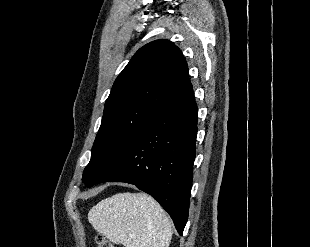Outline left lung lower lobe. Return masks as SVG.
I'll return each mask as SVG.
<instances>
[{"instance_id": "obj_1", "label": "left lung lower lobe", "mask_w": 310, "mask_h": 247, "mask_svg": "<svg viewBox=\"0 0 310 247\" xmlns=\"http://www.w3.org/2000/svg\"><path fill=\"white\" fill-rule=\"evenodd\" d=\"M197 106L191 89L164 111L97 183L125 182L153 196L182 235L193 179Z\"/></svg>"}]
</instances>
